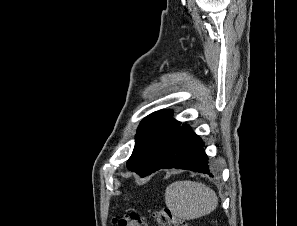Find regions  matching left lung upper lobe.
<instances>
[{"label": "left lung upper lobe", "instance_id": "left-lung-upper-lobe-1", "mask_svg": "<svg viewBox=\"0 0 297 226\" xmlns=\"http://www.w3.org/2000/svg\"><path fill=\"white\" fill-rule=\"evenodd\" d=\"M171 112H155L147 116L138 127L136 143L127 167L144 177L150 173L181 128Z\"/></svg>", "mask_w": 297, "mask_h": 226}]
</instances>
